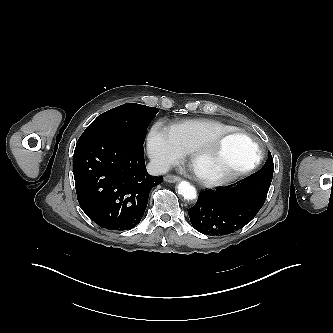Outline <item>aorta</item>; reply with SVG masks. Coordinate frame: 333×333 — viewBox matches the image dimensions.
Segmentation results:
<instances>
[{"instance_id":"aorta-1","label":"aorta","mask_w":333,"mask_h":333,"mask_svg":"<svg viewBox=\"0 0 333 333\" xmlns=\"http://www.w3.org/2000/svg\"><path fill=\"white\" fill-rule=\"evenodd\" d=\"M178 193L186 200L195 199L197 196L196 189L187 181H181L177 185Z\"/></svg>"}]
</instances>
